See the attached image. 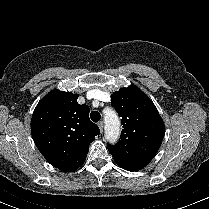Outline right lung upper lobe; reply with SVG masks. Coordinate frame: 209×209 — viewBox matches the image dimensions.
Instances as JSON below:
<instances>
[{
  "label": "right lung upper lobe",
  "instance_id": "obj_1",
  "mask_svg": "<svg viewBox=\"0 0 209 209\" xmlns=\"http://www.w3.org/2000/svg\"><path fill=\"white\" fill-rule=\"evenodd\" d=\"M78 95L53 90L36 106L31 119L33 140L54 167L71 172L80 167L89 144L100 133L89 119V107L79 105Z\"/></svg>",
  "mask_w": 209,
  "mask_h": 209
}]
</instances>
